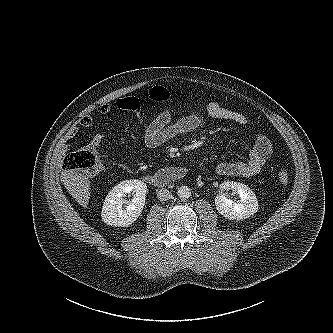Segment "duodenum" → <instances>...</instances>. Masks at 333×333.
I'll list each match as a JSON object with an SVG mask.
<instances>
[{
	"instance_id": "1",
	"label": "duodenum",
	"mask_w": 333,
	"mask_h": 333,
	"mask_svg": "<svg viewBox=\"0 0 333 333\" xmlns=\"http://www.w3.org/2000/svg\"><path fill=\"white\" fill-rule=\"evenodd\" d=\"M188 175V169L181 166H170L158 170L145 177L146 181L157 187H164L172 182L181 180Z\"/></svg>"
}]
</instances>
